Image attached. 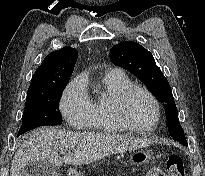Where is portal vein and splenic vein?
I'll return each instance as SVG.
<instances>
[{
  "instance_id": "18ae733b",
  "label": "portal vein and splenic vein",
  "mask_w": 205,
  "mask_h": 176,
  "mask_svg": "<svg viewBox=\"0 0 205 176\" xmlns=\"http://www.w3.org/2000/svg\"><path fill=\"white\" fill-rule=\"evenodd\" d=\"M62 152L64 153V152H66L65 150H62Z\"/></svg>"
}]
</instances>
